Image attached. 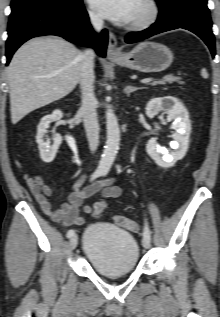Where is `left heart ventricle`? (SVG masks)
<instances>
[{
  "instance_id": "obj_1",
  "label": "left heart ventricle",
  "mask_w": 220,
  "mask_h": 317,
  "mask_svg": "<svg viewBox=\"0 0 220 317\" xmlns=\"http://www.w3.org/2000/svg\"><path fill=\"white\" fill-rule=\"evenodd\" d=\"M145 6L142 3V0H137L134 5L133 15L130 21H133L141 17L145 13Z\"/></svg>"
}]
</instances>
